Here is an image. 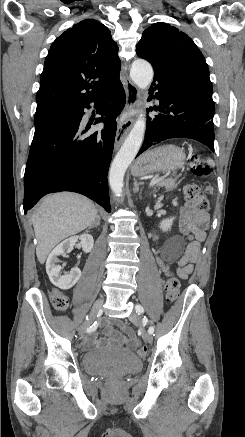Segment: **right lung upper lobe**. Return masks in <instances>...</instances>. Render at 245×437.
Masks as SVG:
<instances>
[{
    "mask_svg": "<svg viewBox=\"0 0 245 437\" xmlns=\"http://www.w3.org/2000/svg\"><path fill=\"white\" fill-rule=\"evenodd\" d=\"M117 53L109 29L94 19L65 31L52 43L45 59L36 111L85 102L102 94L120 81Z\"/></svg>",
    "mask_w": 245,
    "mask_h": 437,
    "instance_id": "right-lung-upper-lobe-1",
    "label": "right lung upper lobe"
}]
</instances>
